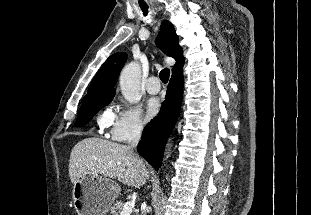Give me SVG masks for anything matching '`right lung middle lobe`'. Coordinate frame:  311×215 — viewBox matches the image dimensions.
I'll list each match as a JSON object with an SVG mask.
<instances>
[{
  "instance_id": "dd1d6c3e",
  "label": "right lung middle lobe",
  "mask_w": 311,
  "mask_h": 215,
  "mask_svg": "<svg viewBox=\"0 0 311 215\" xmlns=\"http://www.w3.org/2000/svg\"><path fill=\"white\" fill-rule=\"evenodd\" d=\"M112 99H113L112 96H104L82 102L75 126L80 127L87 124L90 121V119L102 107L108 105Z\"/></svg>"
}]
</instances>
